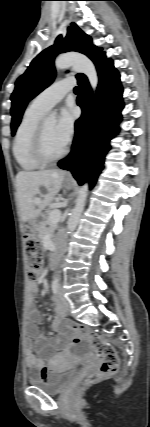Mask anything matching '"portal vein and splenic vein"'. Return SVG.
<instances>
[{
  "instance_id": "obj_1",
  "label": "portal vein and splenic vein",
  "mask_w": 150,
  "mask_h": 427,
  "mask_svg": "<svg viewBox=\"0 0 150 427\" xmlns=\"http://www.w3.org/2000/svg\"><path fill=\"white\" fill-rule=\"evenodd\" d=\"M40 200H41L40 198L34 199L35 203H39ZM60 217H61V211L59 209H54L49 214V221L51 224H55L59 221Z\"/></svg>"
}]
</instances>
